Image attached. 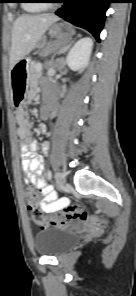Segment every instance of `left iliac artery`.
<instances>
[{
  "mask_svg": "<svg viewBox=\"0 0 136 296\" xmlns=\"http://www.w3.org/2000/svg\"><path fill=\"white\" fill-rule=\"evenodd\" d=\"M51 177H52V173H51V171H48V178L51 179Z\"/></svg>",
  "mask_w": 136,
  "mask_h": 296,
  "instance_id": "44dca946",
  "label": "left iliac artery"
}]
</instances>
